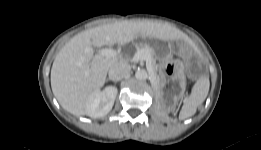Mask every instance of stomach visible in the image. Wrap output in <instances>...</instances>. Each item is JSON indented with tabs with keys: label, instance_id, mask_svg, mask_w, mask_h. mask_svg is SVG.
<instances>
[{
	"label": "stomach",
	"instance_id": "stomach-1",
	"mask_svg": "<svg viewBox=\"0 0 261 150\" xmlns=\"http://www.w3.org/2000/svg\"><path fill=\"white\" fill-rule=\"evenodd\" d=\"M159 70L164 78L171 81L184 82V67L180 59H162Z\"/></svg>",
	"mask_w": 261,
	"mask_h": 150
}]
</instances>
